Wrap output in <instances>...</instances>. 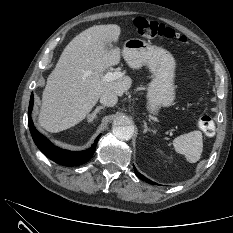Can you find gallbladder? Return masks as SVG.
<instances>
[{
    "label": "gallbladder",
    "mask_w": 233,
    "mask_h": 233,
    "mask_svg": "<svg viewBox=\"0 0 233 233\" xmlns=\"http://www.w3.org/2000/svg\"><path fill=\"white\" fill-rule=\"evenodd\" d=\"M106 48H107V49H110V45H109V44H107V45H106Z\"/></svg>",
    "instance_id": "obj_1"
}]
</instances>
